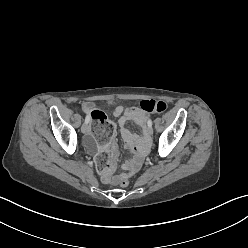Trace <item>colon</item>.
Returning a JSON list of instances; mask_svg holds the SVG:
<instances>
[{
    "instance_id": "colon-1",
    "label": "colon",
    "mask_w": 248,
    "mask_h": 248,
    "mask_svg": "<svg viewBox=\"0 0 248 248\" xmlns=\"http://www.w3.org/2000/svg\"><path fill=\"white\" fill-rule=\"evenodd\" d=\"M139 108L146 113H163L167 110L168 105L164 101L148 99L139 104ZM90 119L93 122L92 136L95 138L94 145L97 149L94 157L93 167L96 171L104 173L109 168L111 154L106 149L112 136L115 134L116 126L109 120L104 112L94 109L90 113ZM118 183L122 188L129 186V180L126 176H120Z\"/></svg>"
}]
</instances>
